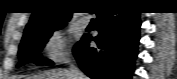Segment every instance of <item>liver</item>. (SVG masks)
Returning <instances> with one entry per match:
<instances>
[{
    "mask_svg": "<svg viewBox=\"0 0 177 79\" xmlns=\"http://www.w3.org/2000/svg\"><path fill=\"white\" fill-rule=\"evenodd\" d=\"M24 79H72V78L70 71L67 69H53L36 75L28 76Z\"/></svg>",
    "mask_w": 177,
    "mask_h": 79,
    "instance_id": "liver-1",
    "label": "liver"
}]
</instances>
